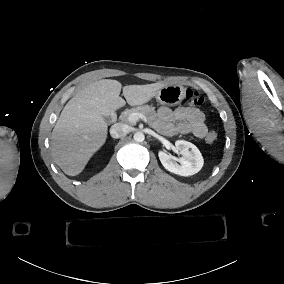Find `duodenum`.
<instances>
[{
    "instance_id": "1",
    "label": "duodenum",
    "mask_w": 284,
    "mask_h": 284,
    "mask_svg": "<svg viewBox=\"0 0 284 284\" xmlns=\"http://www.w3.org/2000/svg\"><path fill=\"white\" fill-rule=\"evenodd\" d=\"M111 120H113V121L115 120V115L111 116Z\"/></svg>"
}]
</instances>
